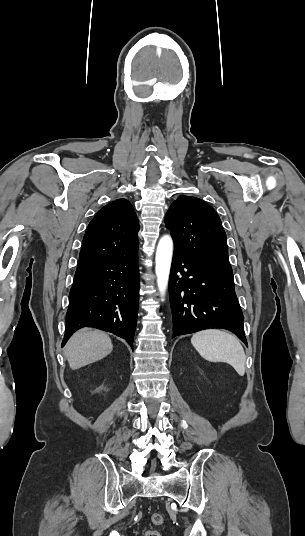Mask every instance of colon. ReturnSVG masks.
Listing matches in <instances>:
<instances>
[{
	"label": "colon",
	"instance_id": "1",
	"mask_svg": "<svg viewBox=\"0 0 305 536\" xmlns=\"http://www.w3.org/2000/svg\"><path fill=\"white\" fill-rule=\"evenodd\" d=\"M150 520H151L152 524H154V525H161L164 522V517H163L162 514L152 513L151 517H150ZM144 536H160V534L157 531L149 530L144 534Z\"/></svg>",
	"mask_w": 305,
	"mask_h": 536
}]
</instances>
